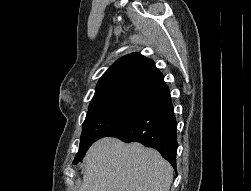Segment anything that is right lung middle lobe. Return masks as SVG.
<instances>
[{
    "instance_id": "obj_1",
    "label": "right lung middle lobe",
    "mask_w": 251,
    "mask_h": 191,
    "mask_svg": "<svg viewBox=\"0 0 251 191\" xmlns=\"http://www.w3.org/2000/svg\"><path fill=\"white\" fill-rule=\"evenodd\" d=\"M141 108L124 104H107L89 108L83 123L79 151L73 164L80 162L89 147L98 139L106 137L136 115Z\"/></svg>"
}]
</instances>
